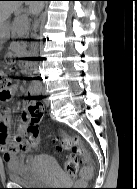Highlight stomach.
<instances>
[{
    "instance_id": "0dacf381",
    "label": "stomach",
    "mask_w": 137,
    "mask_h": 189,
    "mask_svg": "<svg viewBox=\"0 0 137 189\" xmlns=\"http://www.w3.org/2000/svg\"><path fill=\"white\" fill-rule=\"evenodd\" d=\"M9 35V29L5 25L0 26V39H7Z\"/></svg>"
}]
</instances>
